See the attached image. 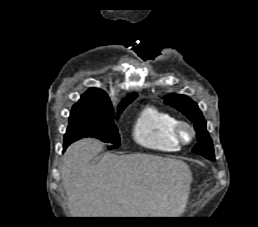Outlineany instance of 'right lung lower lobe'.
<instances>
[{
	"label": "right lung lower lobe",
	"mask_w": 258,
	"mask_h": 227,
	"mask_svg": "<svg viewBox=\"0 0 258 227\" xmlns=\"http://www.w3.org/2000/svg\"><path fill=\"white\" fill-rule=\"evenodd\" d=\"M69 145H70V144H69ZM67 147H68V145H67V144H64V146H63L64 150H65Z\"/></svg>",
	"instance_id": "obj_1"
}]
</instances>
